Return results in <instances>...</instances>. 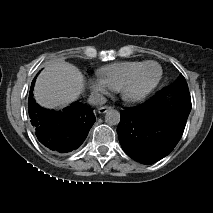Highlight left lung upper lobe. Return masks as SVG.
<instances>
[{
  "label": "left lung upper lobe",
  "instance_id": "1",
  "mask_svg": "<svg viewBox=\"0 0 213 213\" xmlns=\"http://www.w3.org/2000/svg\"><path fill=\"white\" fill-rule=\"evenodd\" d=\"M175 83H179L182 85H187L185 78L183 77V75L181 74L178 78V80Z\"/></svg>",
  "mask_w": 213,
  "mask_h": 213
}]
</instances>
